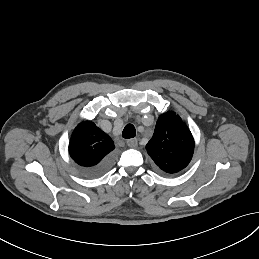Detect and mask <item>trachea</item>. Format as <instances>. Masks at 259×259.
<instances>
[{"label": "trachea", "instance_id": "1", "mask_svg": "<svg viewBox=\"0 0 259 259\" xmlns=\"http://www.w3.org/2000/svg\"><path fill=\"white\" fill-rule=\"evenodd\" d=\"M135 135H136L135 127L132 124L126 125L122 132V137L125 139H130L135 137Z\"/></svg>", "mask_w": 259, "mask_h": 259}]
</instances>
